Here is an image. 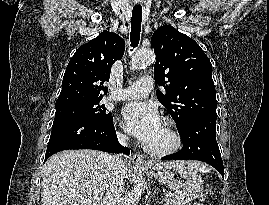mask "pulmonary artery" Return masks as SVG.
I'll list each match as a JSON object with an SVG mask.
<instances>
[{
	"mask_svg": "<svg viewBox=\"0 0 269 205\" xmlns=\"http://www.w3.org/2000/svg\"><path fill=\"white\" fill-rule=\"evenodd\" d=\"M153 87V80L150 77H142L132 86L120 90L111 96L114 100L141 99L149 94Z\"/></svg>",
	"mask_w": 269,
	"mask_h": 205,
	"instance_id": "1",
	"label": "pulmonary artery"
}]
</instances>
